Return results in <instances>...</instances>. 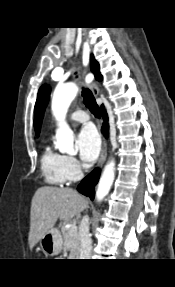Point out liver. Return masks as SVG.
Segmentation results:
<instances>
[{"instance_id":"6515ba94","label":"liver","mask_w":175,"mask_h":287,"mask_svg":"<svg viewBox=\"0 0 175 287\" xmlns=\"http://www.w3.org/2000/svg\"><path fill=\"white\" fill-rule=\"evenodd\" d=\"M88 206V201L70 188L42 186L31 201L29 246L33 247L51 229L58 219L70 222Z\"/></svg>"}]
</instances>
